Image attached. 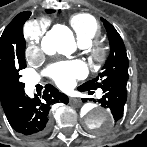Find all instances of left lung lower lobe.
<instances>
[{"instance_id": "1", "label": "left lung lower lobe", "mask_w": 147, "mask_h": 147, "mask_svg": "<svg viewBox=\"0 0 147 147\" xmlns=\"http://www.w3.org/2000/svg\"><path fill=\"white\" fill-rule=\"evenodd\" d=\"M127 81L118 80L107 83L101 87L104 96L99 100L101 106L108 108L114 118V123H117L123 116L124 105L127 100ZM79 91H87L83 87H78ZM85 102L86 99H83Z\"/></svg>"}]
</instances>
